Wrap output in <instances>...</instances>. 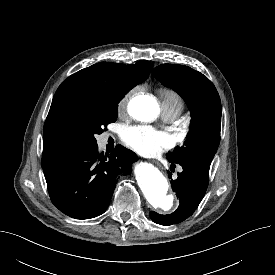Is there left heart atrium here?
Returning <instances> with one entry per match:
<instances>
[{
  "mask_svg": "<svg viewBox=\"0 0 275 275\" xmlns=\"http://www.w3.org/2000/svg\"><path fill=\"white\" fill-rule=\"evenodd\" d=\"M122 137L129 147L144 155H156L174 144L168 133L144 125L126 127Z\"/></svg>",
  "mask_w": 275,
  "mask_h": 275,
  "instance_id": "obj_1",
  "label": "left heart atrium"
}]
</instances>
